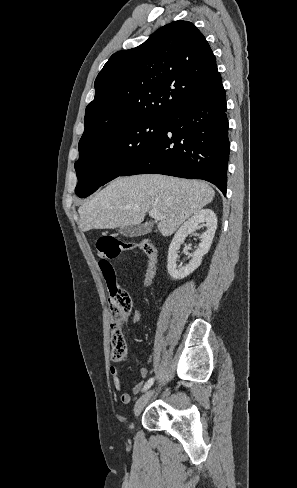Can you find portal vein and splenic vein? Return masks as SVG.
Instances as JSON below:
<instances>
[{
  "label": "portal vein and splenic vein",
  "mask_w": 297,
  "mask_h": 488,
  "mask_svg": "<svg viewBox=\"0 0 297 488\" xmlns=\"http://www.w3.org/2000/svg\"><path fill=\"white\" fill-rule=\"evenodd\" d=\"M149 216H151L152 218L158 219V220L163 218V215L160 214L157 210H150Z\"/></svg>",
  "instance_id": "obj_1"
}]
</instances>
